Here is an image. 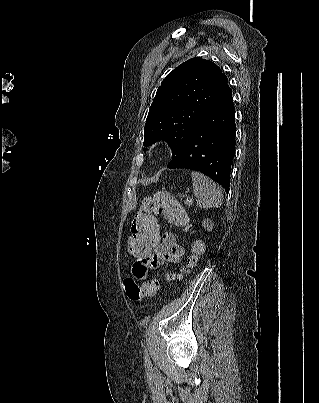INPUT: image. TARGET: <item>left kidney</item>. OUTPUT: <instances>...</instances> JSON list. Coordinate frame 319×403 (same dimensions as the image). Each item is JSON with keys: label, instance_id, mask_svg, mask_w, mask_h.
Instances as JSON below:
<instances>
[{"label": "left kidney", "instance_id": "5707ae66", "mask_svg": "<svg viewBox=\"0 0 319 403\" xmlns=\"http://www.w3.org/2000/svg\"><path fill=\"white\" fill-rule=\"evenodd\" d=\"M206 225H207V227H208L209 225H210V226L212 225L211 222H210L208 219H207V221L204 222V226H206Z\"/></svg>", "mask_w": 319, "mask_h": 403}]
</instances>
